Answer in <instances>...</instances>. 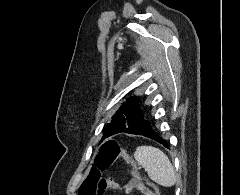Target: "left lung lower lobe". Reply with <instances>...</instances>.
<instances>
[{"instance_id": "left-lung-lower-lobe-1", "label": "left lung lower lobe", "mask_w": 240, "mask_h": 195, "mask_svg": "<svg viewBox=\"0 0 240 195\" xmlns=\"http://www.w3.org/2000/svg\"><path fill=\"white\" fill-rule=\"evenodd\" d=\"M122 132L143 135L161 143L160 136L152 130L150 123L144 120L142 113L131 124L126 126ZM163 145L168 147L166 141H163Z\"/></svg>"}]
</instances>
